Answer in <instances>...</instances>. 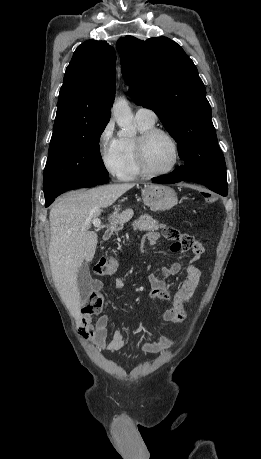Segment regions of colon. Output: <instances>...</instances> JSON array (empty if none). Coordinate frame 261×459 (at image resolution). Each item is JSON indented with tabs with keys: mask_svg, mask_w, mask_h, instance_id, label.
Here are the masks:
<instances>
[{
	"mask_svg": "<svg viewBox=\"0 0 261 459\" xmlns=\"http://www.w3.org/2000/svg\"><path fill=\"white\" fill-rule=\"evenodd\" d=\"M199 196L204 197L208 203H214L216 198L214 196L213 188H200ZM173 235L171 228L164 230V236L170 238ZM117 268V262L113 258L101 257L94 264L93 270L97 275H111ZM103 305V296L101 293L95 292L91 295L89 302L83 309V313L92 316L99 313Z\"/></svg>",
	"mask_w": 261,
	"mask_h": 459,
	"instance_id": "5ec220e1",
	"label": "colon"
}]
</instances>
